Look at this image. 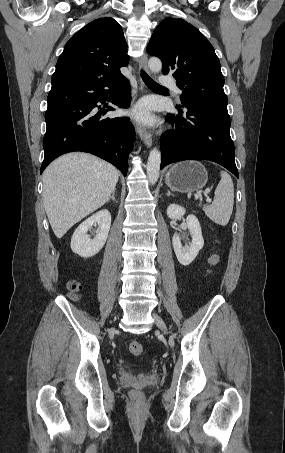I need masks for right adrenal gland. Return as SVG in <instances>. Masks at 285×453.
I'll return each instance as SVG.
<instances>
[{
    "label": "right adrenal gland",
    "mask_w": 285,
    "mask_h": 453,
    "mask_svg": "<svg viewBox=\"0 0 285 453\" xmlns=\"http://www.w3.org/2000/svg\"><path fill=\"white\" fill-rule=\"evenodd\" d=\"M115 192H116V189L113 190L112 195H111V196L108 198V200H107V203H108L110 200L115 201Z\"/></svg>",
    "instance_id": "obj_1"
}]
</instances>
